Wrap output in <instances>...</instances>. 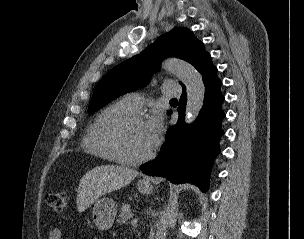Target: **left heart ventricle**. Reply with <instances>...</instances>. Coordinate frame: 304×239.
<instances>
[{
	"mask_svg": "<svg viewBox=\"0 0 304 239\" xmlns=\"http://www.w3.org/2000/svg\"><path fill=\"white\" fill-rule=\"evenodd\" d=\"M146 122L130 125L121 138V149L128 157H138L147 153L152 144L146 132Z\"/></svg>",
	"mask_w": 304,
	"mask_h": 239,
	"instance_id": "obj_1",
	"label": "left heart ventricle"
}]
</instances>
